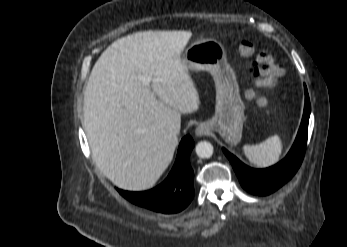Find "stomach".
Wrapping results in <instances>:
<instances>
[{
	"label": "stomach",
	"instance_id": "0dacf381",
	"mask_svg": "<svg viewBox=\"0 0 347 247\" xmlns=\"http://www.w3.org/2000/svg\"><path fill=\"white\" fill-rule=\"evenodd\" d=\"M182 63L187 70H203L212 75L216 89L215 114L207 123L227 143H239L245 120V107L238 84L227 64L224 46L210 38L196 41L185 50Z\"/></svg>",
	"mask_w": 347,
	"mask_h": 247
}]
</instances>
